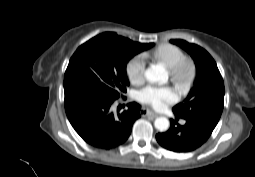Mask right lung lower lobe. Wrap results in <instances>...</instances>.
<instances>
[{
    "mask_svg": "<svg viewBox=\"0 0 255 177\" xmlns=\"http://www.w3.org/2000/svg\"><path fill=\"white\" fill-rule=\"evenodd\" d=\"M67 117L79 136L93 147L112 149L123 144L132 125L140 117L141 106L128 104V110L115 115L113 103L118 99L102 90L72 87L65 89Z\"/></svg>",
    "mask_w": 255,
    "mask_h": 177,
    "instance_id": "obj_1",
    "label": "right lung lower lobe"
}]
</instances>
